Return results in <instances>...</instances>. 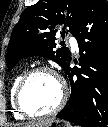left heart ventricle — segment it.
I'll use <instances>...</instances> for the list:
<instances>
[{"label":"left heart ventricle","mask_w":108,"mask_h":127,"mask_svg":"<svg viewBox=\"0 0 108 127\" xmlns=\"http://www.w3.org/2000/svg\"><path fill=\"white\" fill-rule=\"evenodd\" d=\"M60 98V85L55 77L48 73H38L27 83L23 91L25 108L36 114L50 111Z\"/></svg>","instance_id":"left-heart-ventricle-1"}]
</instances>
